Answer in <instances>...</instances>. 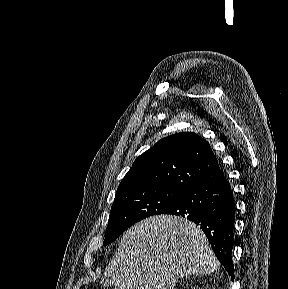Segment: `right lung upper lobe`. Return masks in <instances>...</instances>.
Instances as JSON below:
<instances>
[{"instance_id":"1","label":"right lung upper lobe","mask_w":288,"mask_h":289,"mask_svg":"<svg viewBox=\"0 0 288 289\" xmlns=\"http://www.w3.org/2000/svg\"><path fill=\"white\" fill-rule=\"evenodd\" d=\"M217 165L205 139L192 132L177 133L139 156L116 193L155 187L187 189Z\"/></svg>"}]
</instances>
